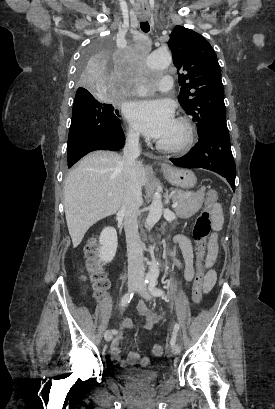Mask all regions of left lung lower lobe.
I'll return each instance as SVG.
<instances>
[{
  "label": "left lung lower lobe",
  "mask_w": 275,
  "mask_h": 409,
  "mask_svg": "<svg viewBox=\"0 0 275 409\" xmlns=\"http://www.w3.org/2000/svg\"><path fill=\"white\" fill-rule=\"evenodd\" d=\"M185 168H205L225 177L235 191L236 166L230 147L229 131L211 129L199 137L198 143L181 158L170 159Z\"/></svg>",
  "instance_id": "0a47b994"
}]
</instances>
